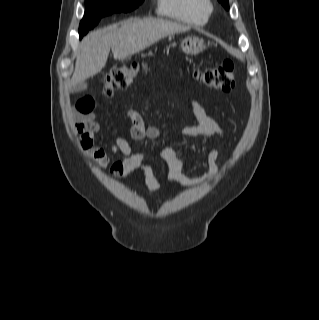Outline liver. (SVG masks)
Returning a JSON list of instances; mask_svg holds the SVG:
<instances>
[{"mask_svg": "<svg viewBox=\"0 0 319 320\" xmlns=\"http://www.w3.org/2000/svg\"><path fill=\"white\" fill-rule=\"evenodd\" d=\"M188 30L179 23L163 19L131 18L89 33L81 43L71 85L83 83L106 65L110 49L116 60L143 51L160 39Z\"/></svg>", "mask_w": 319, "mask_h": 320, "instance_id": "6515ba94", "label": "liver"}]
</instances>
